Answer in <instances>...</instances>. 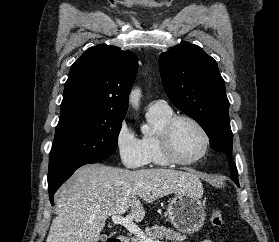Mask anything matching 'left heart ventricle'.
Segmentation results:
<instances>
[{
	"label": "left heart ventricle",
	"instance_id": "left-heart-ventricle-1",
	"mask_svg": "<svg viewBox=\"0 0 279 242\" xmlns=\"http://www.w3.org/2000/svg\"><path fill=\"white\" fill-rule=\"evenodd\" d=\"M172 137L175 152L182 159H192L203 150V137L190 122L179 121L174 127Z\"/></svg>",
	"mask_w": 279,
	"mask_h": 242
}]
</instances>
